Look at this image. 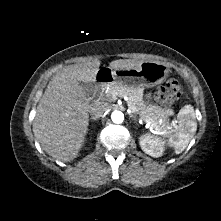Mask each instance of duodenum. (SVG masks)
I'll list each match as a JSON object with an SVG mask.
<instances>
[{"label":"duodenum","mask_w":221,"mask_h":221,"mask_svg":"<svg viewBox=\"0 0 221 221\" xmlns=\"http://www.w3.org/2000/svg\"><path fill=\"white\" fill-rule=\"evenodd\" d=\"M112 81V76L108 72H100L96 77V86L97 88L103 87L105 84Z\"/></svg>","instance_id":"duodenum-1"}]
</instances>
